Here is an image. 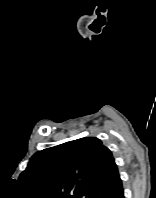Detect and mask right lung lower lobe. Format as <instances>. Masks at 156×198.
<instances>
[{
	"label": "right lung lower lobe",
	"mask_w": 156,
	"mask_h": 198,
	"mask_svg": "<svg viewBox=\"0 0 156 198\" xmlns=\"http://www.w3.org/2000/svg\"><path fill=\"white\" fill-rule=\"evenodd\" d=\"M111 198H124L123 188L117 191Z\"/></svg>",
	"instance_id": "right-lung-lower-lobe-1"
}]
</instances>
